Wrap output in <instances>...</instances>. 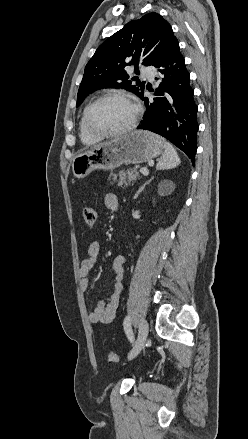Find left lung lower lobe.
<instances>
[{
    "mask_svg": "<svg viewBox=\"0 0 248 439\" xmlns=\"http://www.w3.org/2000/svg\"><path fill=\"white\" fill-rule=\"evenodd\" d=\"M154 67L158 72L156 79L160 80L154 94L159 97L149 100L142 95L146 112L138 129L149 130L167 138L186 153L194 165L199 127L196 116L198 109L178 41L172 44Z\"/></svg>",
    "mask_w": 248,
    "mask_h": 439,
    "instance_id": "left-lung-lower-lobe-1",
    "label": "left lung lower lobe"
}]
</instances>
